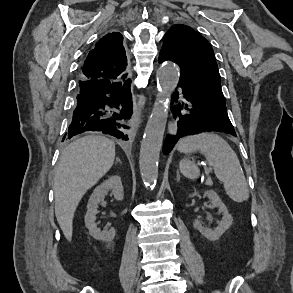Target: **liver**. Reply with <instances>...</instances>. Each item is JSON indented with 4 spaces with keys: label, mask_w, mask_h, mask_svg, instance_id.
Masks as SVG:
<instances>
[{
    "label": "liver",
    "mask_w": 293,
    "mask_h": 293,
    "mask_svg": "<svg viewBox=\"0 0 293 293\" xmlns=\"http://www.w3.org/2000/svg\"><path fill=\"white\" fill-rule=\"evenodd\" d=\"M114 159V142L98 135L79 138L63 151L54 178L55 215L68 241L79 202L111 169Z\"/></svg>",
    "instance_id": "1"
}]
</instances>
